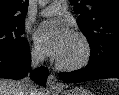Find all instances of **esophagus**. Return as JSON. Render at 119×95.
I'll return each mask as SVG.
<instances>
[{
	"label": "esophagus",
	"mask_w": 119,
	"mask_h": 95,
	"mask_svg": "<svg viewBox=\"0 0 119 95\" xmlns=\"http://www.w3.org/2000/svg\"><path fill=\"white\" fill-rule=\"evenodd\" d=\"M47 87L50 90H55L60 88V84L57 80V78L53 74H49L47 79Z\"/></svg>",
	"instance_id": "34e87169"
}]
</instances>
